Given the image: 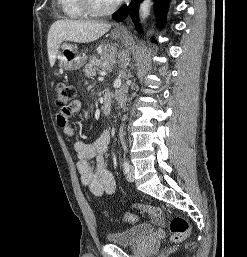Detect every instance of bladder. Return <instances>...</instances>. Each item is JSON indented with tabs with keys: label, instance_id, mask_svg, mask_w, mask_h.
<instances>
[{
	"label": "bladder",
	"instance_id": "31cf9c89",
	"mask_svg": "<svg viewBox=\"0 0 247 257\" xmlns=\"http://www.w3.org/2000/svg\"><path fill=\"white\" fill-rule=\"evenodd\" d=\"M154 231V226L148 223H142L132 228L109 233L107 234V240L110 243L121 246L137 245L151 235Z\"/></svg>",
	"mask_w": 247,
	"mask_h": 257
}]
</instances>
